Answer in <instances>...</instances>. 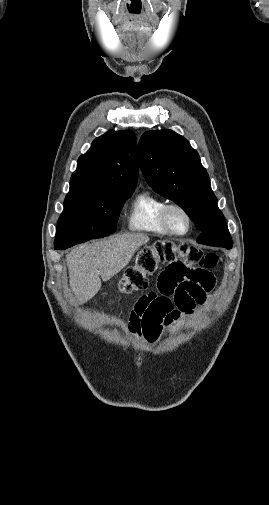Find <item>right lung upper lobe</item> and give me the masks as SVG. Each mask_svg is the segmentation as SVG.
Wrapping results in <instances>:
<instances>
[{"label": "right lung upper lobe", "mask_w": 269, "mask_h": 505, "mask_svg": "<svg viewBox=\"0 0 269 505\" xmlns=\"http://www.w3.org/2000/svg\"><path fill=\"white\" fill-rule=\"evenodd\" d=\"M138 171L135 134L109 131L79 157L69 192H134Z\"/></svg>", "instance_id": "obj_1"}]
</instances>
